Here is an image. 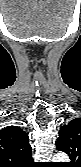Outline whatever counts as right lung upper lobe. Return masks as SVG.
I'll list each match as a JSON object with an SVG mask.
<instances>
[{
    "instance_id": "obj_1",
    "label": "right lung upper lobe",
    "mask_w": 81,
    "mask_h": 167,
    "mask_svg": "<svg viewBox=\"0 0 81 167\" xmlns=\"http://www.w3.org/2000/svg\"><path fill=\"white\" fill-rule=\"evenodd\" d=\"M31 150L27 134L19 127L0 130V167H31Z\"/></svg>"
}]
</instances>
